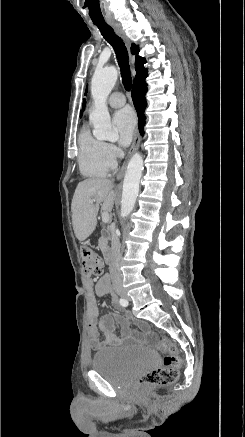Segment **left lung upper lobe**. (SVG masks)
Listing matches in <instances>:
<instances>
[{"label": "left lung upper lobe", "mask_w": 245, "mask_h": 437, "mask_svg": "<svg viewBox=\"0 0 245 437\" xmlns=\"http://www.w3.org/2000/svg\"><path fill=\"white\" fill-rule=\"evenodd\" d=\"M86 93H87V91L85 92V95H86ZM85 104H86V102L84 101V102H83V106H82L83 109L85 108Z\"/></svg>", "instance_id": "left-lung-upper-lobe-1"}]
</instances>
